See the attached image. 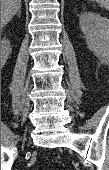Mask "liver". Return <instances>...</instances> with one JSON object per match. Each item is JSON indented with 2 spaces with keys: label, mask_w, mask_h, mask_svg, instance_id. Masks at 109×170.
<instances>
[{
  "label": "liver",
  "mask_w": 109,
  "mask_h": 170,
  "mask_svg": "<svg viewBox=\"0 0 109 170\" xmlns=\"http://www.w3.org/2000/svg\"><path fill=\"white\" fill-rule=\"evenodd\" d=\"M21 0H1V26L4 27L18 12Z\"/></svg>",
  "instance_id": "1"
}]
</instances>
